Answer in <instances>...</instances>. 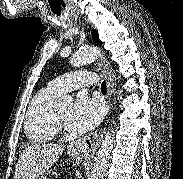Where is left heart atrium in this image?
<instances>
[{
  "instance_id": "obj_1",
  "label": "left heart atrium",
  "mask_w": 183,
  "mask_h": 179,
  "mask_svg": "<svg viewBox=\"0 0 183 179\" xmlns=\"http://www.w3.org/2000/svg\"><path fill=\"white\" fill-rule=\"evenodd\" d=\"M104 115L102 103L86 95H80L68 118V127L76 132H87L99 124Z\"/></svg>"
}]
</instances>
